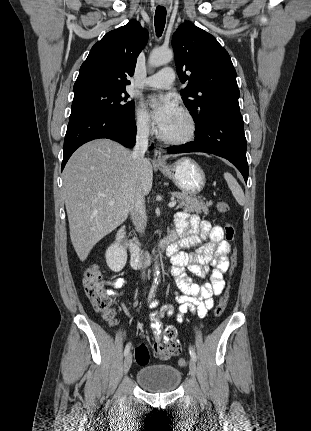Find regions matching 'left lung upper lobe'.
I'll list each match as a JSON object with an SVG mask.
<instances>
[{"instance_id": "obj_1", "label": "left lung upper lobe", "mask_w": 311, "mask_h": 431, "mask_svg": "<svg viewBox=\"0 0 311 431\" xmlns=\"http://www.w3.org/2000/svg\"><path fill=\"white\" fill-rule=\"evenodd\" d=\"M172 46L179 78L188 81L181 95L196 129L219 113L239 111L236 71L214 36L185 22L174 33Z\"/></svg>"}]
</instances>
